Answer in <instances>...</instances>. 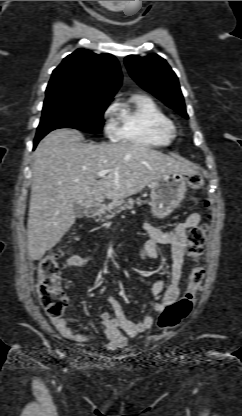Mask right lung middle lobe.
Returning a JSON list of instances; mask_svg holds the SVG:
<instances>
[{
    "label": "right lung middle lobe",
    "instance_id": "1",
    "mask_svg": "<svg viewBox=\"0 0 242 416\" xmlns=\"http://www.w3.org/2000/svg\"><path fill=\"white\" fill-rule=\"evenodd\" d=\"M109 99H85L66 96L46 97L35 138H43L58 128H74L98 133L103 127V113Z\"/></svg>",
    "mask_w": 242,
    "mask_h": 416
}]
</instances>
